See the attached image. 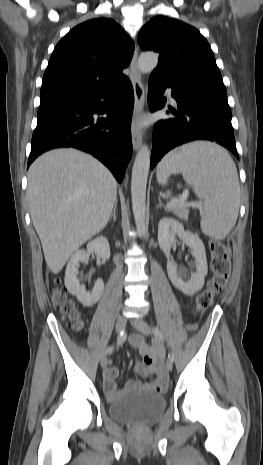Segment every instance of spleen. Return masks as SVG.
Masks as SVG:
<instances>
[{
  "instance_id": "1",
  "label": "spleen",
  "mask_w": 263,
  "mask_h": 465,
  "mask_svg": "<svg viewBox=\"0 0 263 465\" xmlns=\"http://www.w3.org/2000/svg\"><path fill=\"white\" fill-rule=\"evenodd\" d=\"M172 173H182L204 200L201 230L224 239L237 221L240 185L236 166L228 152L210 142H194L168 153L157 167V180L165 184Z\"/></svg>"
}]
</instances>
